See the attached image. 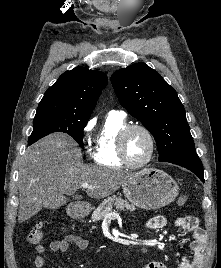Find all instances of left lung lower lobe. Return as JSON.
Instances as JSON below:
<instances>
[{"instance_id": "1", "label": "left lung lower lobe", "mask_w": 221, "mask_h": 268, "mask_svg": "<svg viewBox=\"0 0 221 268\" xmlns=\"http://www.w3.org/2000/svg\"><path fill=\"white\" fill-rule=\"evenodd\" d=\"M182 167H185L195 173L201 181L204 180L203 166L196 152L186 153L168 161Z\"/></svg>"}]
</instances>
